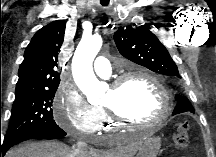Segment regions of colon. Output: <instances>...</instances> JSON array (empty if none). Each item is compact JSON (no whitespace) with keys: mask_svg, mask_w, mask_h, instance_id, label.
Wrapping results in <instances>:
<instances>
[{"mask_svg":"<svg viewBox=\"0 0 216 157\" xmlns=\"http://www.w3.org/2000/svg\"><path fill=\"white\" fill-rule=\"evenodd\" d=\"M190 141V122L189 120H182L177 124L174 135V144L177 149L185 150Z\"/></svg>","mask_w":216,"mask_h":157,"instance_id":"1","label":"colon"}]
</instances>
